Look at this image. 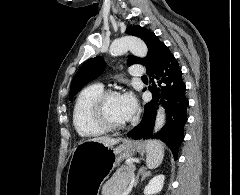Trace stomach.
<instances>
[{
  "instance_id": "stomach-1",
  "label": "stomach",
  "mask_w": 240,
  "mask_h": 195,
  "mask_svg": "<svg viewBox=\"0 0 240 195\" xmlns=\"http://www.w3.org/2000/svg\"><path fill=\"white\" fill-rule=\"evenodd\" d=\"M118 145L80 141L75 147L66 181V195H99L100 187L122 159L146 153V141L121 139Z\"/></svg>"
}]
</instances>
